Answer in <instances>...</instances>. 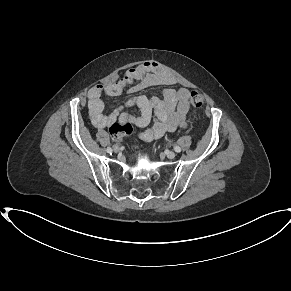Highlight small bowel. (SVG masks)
<instances>
[{
	"label": "small bowel",
	"instance_id": "1",
	"mask_svg": "<svg viewBox=\"0 0 291 291\" xmlns=\"http://www.w3.org/2000/svg\"><path fill=\"white\" fill-rule=\"evenodd\" d=\"M176 79L154 62H146L128 69L116 82L93 86L88 93V109L93 125L102 129L111 126L115 121L133 123L139 128H149L138 133L143 141H153L167 132H173L184 126L189 110L190 91L186 88H166L161 97L135 96L124 105L105 113V97H117L123 91L136 93L150 86H172ZM136 106L140 109L139 116H133L125 111L126 107Z\"/></svg>",
	"mask_w": 291,
	"mask_h": 291
}]
</instances>
